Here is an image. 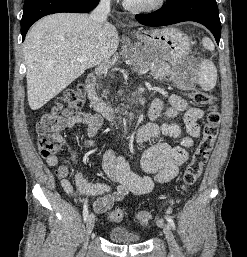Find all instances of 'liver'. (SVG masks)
Segmentation results:
<instances>
[{
  "instance_id": "6515ba94",
  "label": "liver",
  "mask_w": 247,
  "mask_h": 257,
  "mask_svg": "<svg viewBox=\"0 0 247 257\" xmlns=\"http://www.w3.org/2000/svg\"><path fill=\"white\" fill-rule=\"evenodd\" d=\"M118 45L116 27L87 14L56 13L40 19L23 48L30 108L38 110L86 69L110 59ZM80 56L87 61H78Z\"/></svg>"
}]
</instances>
